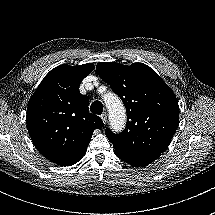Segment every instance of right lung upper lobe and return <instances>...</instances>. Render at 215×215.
<instances>
[{
  "label": "right lung upper lobe",
  "mask_w": 215,
  "mask_h": 215,
  "mask_svg": "<svg viewBox=\"0 0 215 215\" xmlns=\"http://www.w3.org/2000/svg\"><path fill=\"white\" fill-rule=\"evenodd\" d=\"M94 64L60 65L41 81L27 107V128L36 149L48 160L70 166L82 159L95 129L103 121L88 112L89 100L79 91Z\"/></svg>",
  "instance_id": "obj_1"
}]
</instances>
